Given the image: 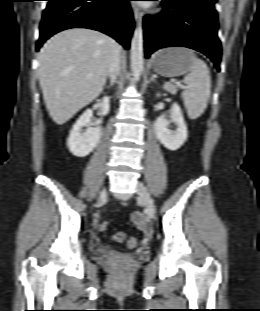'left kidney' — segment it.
Listing matches in <instances>:
<instances>
[{
  "instance_id": "1",
  "label": "left kidney",
  "mask_w": 260,
  "mask_h": 311,
  "mask_svg": "<svg viewBox=\"0 0 260 311\" xmlns=\"http://www.w3.org/2000/svg\"><path fill=\"white\" fill-rule=\"evenodd\" d=\"M157 96H160L159 94ZM171 121L176 124V130L168 129L170 121L160 116L154 122V129L158 140L169 150L179 149L187 140L188 131L183 118L182 110L177 103L171 107Z\"/></svg>"
}]
</instances>
